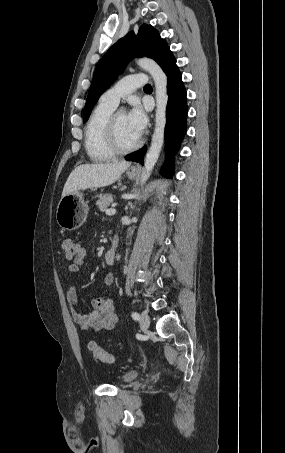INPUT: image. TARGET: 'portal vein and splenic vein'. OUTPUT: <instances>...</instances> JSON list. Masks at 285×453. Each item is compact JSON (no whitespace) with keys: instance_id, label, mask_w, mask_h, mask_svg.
<instances>
[{"instance_id":"obj_1","label":"portal vein and splenic vein","mask_w":285,"mask_h":453,"mask_svg":"<svg viewBox=\"0 0 285 453\" xmlns=\"http://www.w3.org/2000/svg\"><path fill=\"white\" fill-rule=\"evenodd\" d=\"M116 213V210L114 208H110V209H107L106 210V214L107 215H113Z\"/></svg>"}]
</instances>
